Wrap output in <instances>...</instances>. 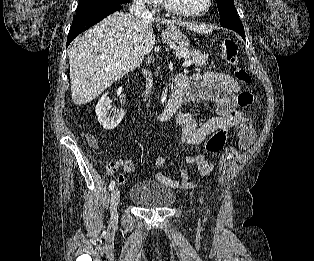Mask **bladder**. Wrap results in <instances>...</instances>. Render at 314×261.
<instances>
[{
	"mask_svg": "<svg viewBox=\"0 0 314 261\" xmlns=\"http://www.w3.org/2000/svg\"><path fill=\"white\" fill-rule=\"evenodd\" d=\"M129 198L143 208L162 209L174 203L175 192L157 181H143L131 187Z\"/></svg>",
	"mask_w": 314,
	"mask_h": 261,
	"instance_id": "31cf9c89",
	"label": "bladder"
}]
</instances>
